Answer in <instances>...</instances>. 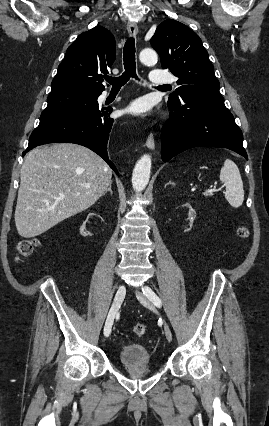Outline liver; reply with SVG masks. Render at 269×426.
Returning <instances> with one entry per match:
<instances>
[{
    "mask_svg": "<svg viewBox=\"0 0 269 426\" xmlns=\"http://www.w3.org/2000/svg\"><path fill=\"white\" fill-rule=\"evenodd\" d=\"M112 171L90 149L55 143L30 151L20 173L15 210L18 234L38 236L91 207L107 190Z\"/></svg>",
    "mask_w": 269,
    "mask_h": 426,
    "instance_id": "1",
    "label": "liver"
}]
</instances>
